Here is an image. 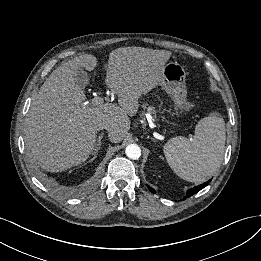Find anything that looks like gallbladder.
Listing matches in <instances>:
<instances>
[{"label":"gallbladder","instance_id":"bac80fb5","mask_svg":"<svg viewBox=\"0 0 261 261\" xmlns=\"http://www.w3.org/2000/svg\"><path fill=\"white\" fill-rule=\"evenodd\" d=\"M75 81L81 88H84L89 83L90 76L86 71L79 69Z\"/></svg>","mask_w":261,"mask_h":261}]
</instances>
